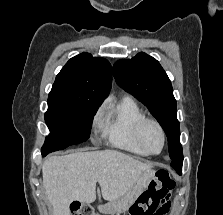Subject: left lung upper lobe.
I'll return each instance as SVG.
<instances>
[{
	"label": "left lung upper lobe",
	"instance_id": "obj_1",
	"mask_svg": "<svg viewBox=\"0 0 223 215\" xmlns=\"http://www.w3.org/2000/svg\"><path fill=\"white\" fill-rule=\"evenodd\" d=\"M117 84L141 101L162 126L168 139L172 167L183 164L176 100L171 82L153 57L140 52L132 59H121L113 66Z\"/></svg>",
	"mask_w": 223,
	"mask_h": 215
}]
</instances>
